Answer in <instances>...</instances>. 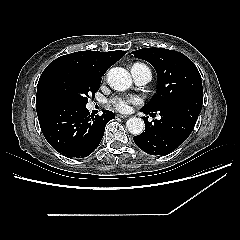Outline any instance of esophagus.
<instances>
[{"instance_id": "1", "label": "esophagus", "mask_w": 240, "mask_h": 240, "mask_svg": "<svg viewBox=\"0 0 240 240\" xmlns=\"http://www.w3.org/2000/svg\"><path fill=\"white\" fill-rule=\"evenodd\" d=\"M117 117H120V118H123V119H125V118H127V117H128V115H124V114H117Z\"/></svg>"}]
</instances>
